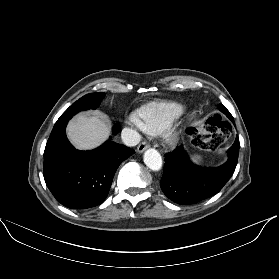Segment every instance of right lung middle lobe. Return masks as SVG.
Listing matches in <instances>:
<instances>
[{"mask_svg": "<svg viewBox=\"0 0 279 279\" xmlns=\"http://www.w3.org/2000/svg\"><path fill=\"white\" fill-rule=\"evenodd\" d=\"M104 97V93H91L83 96L75 103H73L58 119H70L74 114L79 111L86 110L89 108L95 109L101 102L102 98Z\"/></svg>", "mask_w": 279, "mask_h": 279, "instance_id": "1", "label": "right lung middle lobe"}]
</instances>
